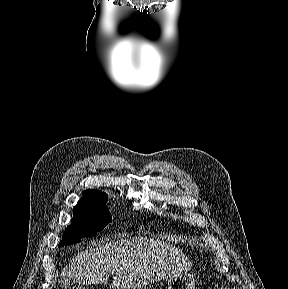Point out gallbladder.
<instances>
[{"label":"gallbladder","instance_id":"1","mask_svg":"<svg viewBox=\"0 0 288 289\" xmlns=\"http://www.w3.org/2000/svg\"><path fill=\"white\" fill-rule=\"evenodd\" d=\"M68 285V283L64 280V281H62V283H61V286L62 287H65V286H67Z\"/></svg>","mask_w":288,"mask_h":289}]
</instances>
